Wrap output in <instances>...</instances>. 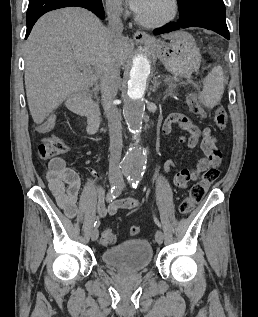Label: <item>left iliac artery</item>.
Returning <instances> with one entry per match:
<instances>
[{
    "instance_id": "left-iliac-artery-1",
    "label": "left iliac artery",
    "mask_w": 258,
    "mask_h": 317,
    "mask_svg": "<svg viewBox=\"0 0 258 317\" xmlns=\"http://www.w3.org/2000/svg\"><path fill=\"white\" fill-rule=\"evenodd\" d=\"M140 181H141V177H131V178L129 179V183L131 184L132 188H134V189H137V187H138ZM153 219H154L155 224H156L159 228H161V223H160V221L158 220V218L155 216V214H153Z\"/></svg>"
}]
</instances>
